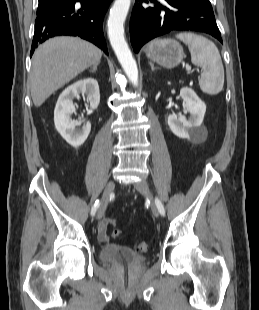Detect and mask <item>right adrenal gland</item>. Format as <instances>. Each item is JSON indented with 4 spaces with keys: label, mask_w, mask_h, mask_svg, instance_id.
<instances>
[{
    "label": "right adrenal gland",
    "mask_w": 259,
    "mask_h": 310,
    "mask_svg": "<svg viewBox=\"0 0 259 310\" xmlns=\"http://www.w3.org/2000/svg\"><path fill=\"white\" fill-rule=\"evenodd\" d=\"M100 62L94 64L91 68H90V71H92L93 73H96L97 72V67L99 65Z\"/></svg>",
    "instance_id": "1"
}]
</instances>
